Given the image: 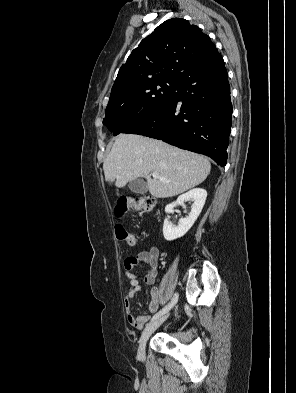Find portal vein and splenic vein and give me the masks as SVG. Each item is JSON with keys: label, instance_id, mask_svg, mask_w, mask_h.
<instances>
[{"label": "portal vein and splenic vein", "instance_id": "1", "mask_svg": "<svg viewBox=\"0 0 296 393\" xmlns=\"http://www.w3.org/2000/svg\"><path fill=\"white\" fill-rule=\"evenodd\" d=\"M152 177L155 178V179H159V180H161L163 182H168V180H166L165 178L160 177L158 175V173H152Z\"/></svg>", "mask_w": 296, "mask_h": 393}]
</instances>
